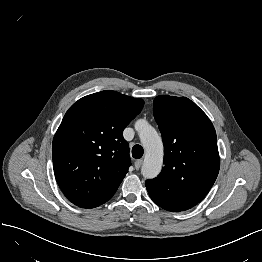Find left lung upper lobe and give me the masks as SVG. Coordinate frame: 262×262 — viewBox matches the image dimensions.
<instances>
[{
	"label": "left lung upper lobe",
	"instance_id": "left-lung-upper-lobe-1",
	"mask_svg": "<svg viewBox=\"0 0 262 262\" xmlns=\"http://www.w3.org/2000/svg\"><path fill=\"white\" fill-rule=\"evenodd\" d=\"M154 117L164 143V167L145 182L151 199L165 210L178 212L198 204L219 172L217 137L206 114L190 99L157 96Z\"/></svg>",
	"mask_w": 262,
	"mask_h": 262
}]
</instances>
